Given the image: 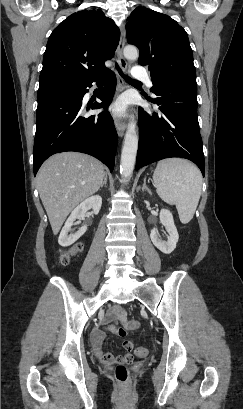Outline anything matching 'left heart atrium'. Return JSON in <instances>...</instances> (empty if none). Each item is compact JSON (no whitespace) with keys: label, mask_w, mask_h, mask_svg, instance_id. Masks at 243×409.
Segmentation results:
<instances>
[{"label":"left heart atrium","mask_w":243,"mask_h":409,"mask_svg":"<svg viewBox=\"0 0 243 409\" xmlns=\"http://www.w3.org/2000/svg\"><path fill=\"white\" fill-rule=\"evenodd\" d=\"M125 110V101L124 100H118L112 107L111 111L115 113L116 115H120L124 112Z\"/></svg>","instance_id":"obj_1"}]
</instances>
